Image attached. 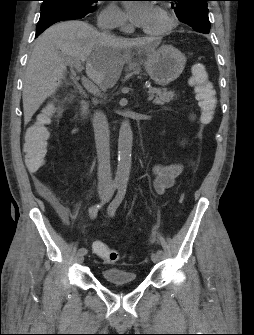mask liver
<instances>
[{
  "mask_svg": "<svg viewBox=\"0 0 254 335\" xmlns=\"http://www.w3.org/2000/svg\"><path fill=\"white\" fill-rule=\"evenodd\" d=\"M133 47L145 53L154 50L151 39H127L105 35L82 21L52 25L36 40L23 83L24 121L28 123L43 102L65 79L69 57L86 62V74L101 89L112 88Z\"/></svg>",
  "mask_w": 254,
  "mask_h": 335,
  "instance_id": "obj_1",
  "label": "liver"
}]
</instances>
